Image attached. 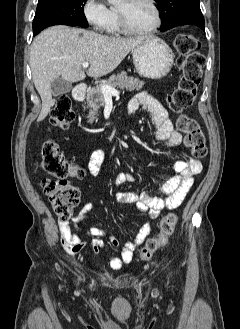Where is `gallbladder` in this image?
I'll list each match as a JSON object with an SVG mask.
<instances>
[{
	"label": "gallbladder",
	"mask_w": 240,
	"mask_h": 329,
	"mask_svg": "<svg viewBox=\"0 0 240 329\" xmlns=\"http://www.w3.org/2000/svg\"><path fill=\"white\" fill-rule=\"evenodd\" d=\"M72 90V84L59 77L51 83V92L53 96L68 93Z\"/></svg>",
	"instance_id": "gallbladder-1"
}]
</instances>
